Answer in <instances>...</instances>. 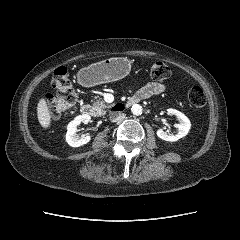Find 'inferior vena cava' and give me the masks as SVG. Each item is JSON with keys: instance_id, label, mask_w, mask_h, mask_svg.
Masks as SVG:
<instances>
[{"instance_id": "602c4592", "label": "inferior vena cava", "mask_w": 240, "mask_h": 240, "mask_svg": "<svg viewBox=\"0 0 240 240\" xmlns=\"http://www.w3.org/2000/svg\"><path fill=\"white\" fill-rule=\"evenodd\" d=\"M125 118V114L124 113H111L110 114V120L112 122H117L119 120H123Z\"/></svg>"}]
</instances>
